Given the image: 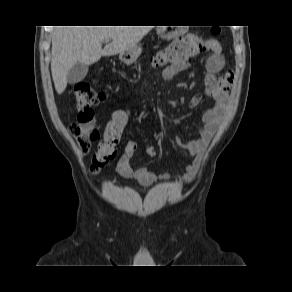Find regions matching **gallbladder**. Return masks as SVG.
Returning <instances> with one entry per match:
<instances>
[{"label": "gallbladder", "mask_w": 292, "mask_h": 292, "mask_svg": "<svg viewBox=\"0 0 292 292\" xmlns=\"http://www.w3.org/2000/svg\"><path fill=\"white\" fill-rule=\"evenodd\" d=\"M88 73V65L76 63L67 74V82L76 84L82 81Z\"/></svg>", "instance_id": "gallbladder-1"}]
</instances>
